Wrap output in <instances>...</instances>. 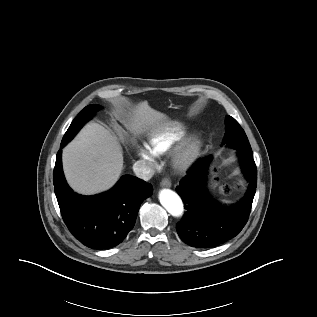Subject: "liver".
<instances>
[{
    "label": "liver",
    "instance_id": "obj_1",
    "mask_svg": "<svg viewBox=\"0 0 317 317\" xmlns=\"http://www.w3.org/2000/svg\"><path fill=\"white\" fill-rule=\"evenodd\" d=\"M129 114L125 126L136 132L158 118L146 101L138 103ZM62 161L68 184L82 194L110 189L123 170L122 148L117 137L95 122L85 125L63 149Z\"/></svg>",
    "mask_w": 317,
    "mask_h": 317
}]
</instances>
